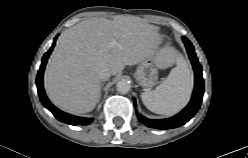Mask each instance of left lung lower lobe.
Segmentation results:
<instances>
[{"mask_svg": "<svg viewBox=\"0 0 248 158\" xmlns=\"http://www.w3.org/2000/svg\"><path fill=\"white\" fill-rule=\"evenodd\" d=\"M182 40L186 46L195 74V85H194V92L192 95V99L184 110H182L180 113H178L177 115L171 118L150 120L141 115H138L139 120L143 122L147 127L156 128V129H170V128L179 127L185 124L186 122H188L200 108V104L202 102V96L204 93L202 67L198 62L192 43L186 37H182Z\"/></svg>", "mask_w": 248, "mask_h": 158, "instance_id": "1", "label": "left lung lower lobe"}]
</instances>
